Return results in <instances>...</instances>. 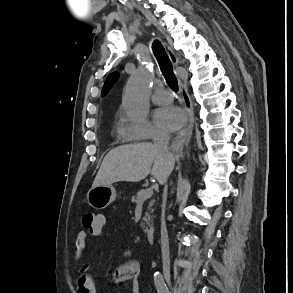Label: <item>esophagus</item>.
Returning a JSON list of instances; mask_svg holds the SVG:
<instances>
[{"mask_svg": "<svg viewBox=\"0 0 293 293\" xmlns=\"http://www.w3.org/2000/svg\"><path fill=\"white\" fill-rule=\"evenodd\" d=\"M166 48H167V53L171 62L173 63V65L176 66L178 64V58L176 57L174 52L171 50V48H169L168 46H166ZM188 112H189V124L185 129H183L182 131L178 133V135L176 136V139L178 140L181 139L192 127L193 114L190 110Z\"/></svg>", "mask_w": 293, "mask_h": 293, "instance_id": "1", "label": "esophagus"}]
</instances>
